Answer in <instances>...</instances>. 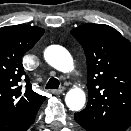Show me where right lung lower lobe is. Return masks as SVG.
<instances>
[{"label":"right lung lower lobe","mask_w":131,"mask_h":131,"mask_svg":"<svg viewBox=\"0 0 131 131\" xmlns=\"http://www.w3.org/2000/svg\"><path fill=\"white\" fill-rule=\"evenodd\" d=\"M36 114L37 112L28 118L8 124L1 122L0 131H27V129L34 123Z\"/></svg>","instance_id":"98d812e1"}]
</instances>
